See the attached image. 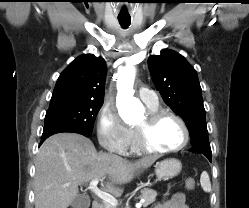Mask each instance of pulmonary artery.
I'll return each instance as SVG.
<instances>
[{
	"label": "pulmonary artery",
	"instance_id": "e3ab8cb5",
	"mask_svg": "<svg viewBox=\"0 0 249 208\" xmlns=\"http://www.w3.org/2000/svg\"><path fill=\"white\" fill-rule=\"evenodd\" d=\"M138 97L144 102L148 107H157L159 105L157 95L154 91L147 88H141L138 91Z\"/></svg>",
	"mask_w": 249,
	"mask_h": 208
}]
</instances>
